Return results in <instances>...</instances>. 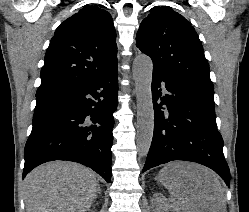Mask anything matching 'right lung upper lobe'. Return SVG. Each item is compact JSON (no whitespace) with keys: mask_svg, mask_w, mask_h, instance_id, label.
I'll list each match as a JSON object with an SVG mask.
<instances>
[{"mask_svg":"<svg viewBox=\"0 0 249 212\" xmlns=\"http://www.w3.org/2000/svg\"><path fill=\"white\" fill-rule=\"evenodd\" d=\"M102 5L85 6L56 29L36 95L98 78L117 66L116 32Z\"/></svg>","mask_w":249,"mask_h":212,"instance_id":"1","label":"right lung upper lobe"}]
</instances>
